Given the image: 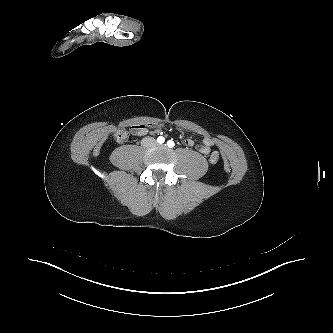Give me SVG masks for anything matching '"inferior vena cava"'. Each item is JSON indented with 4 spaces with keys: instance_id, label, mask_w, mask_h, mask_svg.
Masks as SVG:
<instances>
[{
    "instance_id": "1",
    "label": "inferior vena cava",
    "mask_w": 333,
    "mask_h": 333,
    "mask_svg": "<svg viewBox=\"0 0 333 333\" xmlns=\"http://www.w3.org/2000/svg\"><path fill=\"white\" fill-rule=\"evenodd\" d=\"M142 143H143V146H145L146 140H143V142H142Z\"/></svg>"
}]
</instances>
